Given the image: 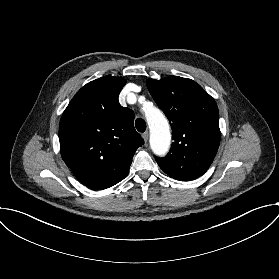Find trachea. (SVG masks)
<instances>
[{
	"label": "trachea",
	"mask_w": 279,
	"mask_h": 279,
	"mask_svg": "<svg viewBox=\"0 0 279 279\" xmlns=\"http://www.w3.org/2000/svg\"><path fill=\"white\" fill-rule=\"evenodd\" d=\"M135 127L137 128V130L139 132H144L146 130V123H145V121L143 119L138 118L135 121Z\"/></svg>",
	"instance_id": "1"
}]
</instances>
